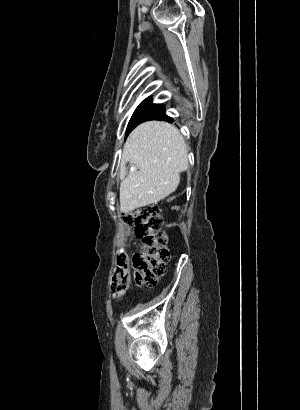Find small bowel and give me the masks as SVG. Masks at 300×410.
<instances>
[{
    "mask_svg": "<svg viewBox=\"0 0 300 410\" xmlns=\"http://www.w3.org/2000/svg\"><path fill=\"white\" fill-rule=\"evenodd\" d=\"M124 296H125V293H124V292H117L116 294H114V298H115L117 301L122 300V299L124 298Z\"/></svg>",
    "mask_w": 300,
    "mask_h": 410,
    "instance_id": "1",
    "label": "small bowel"
}]
</instances>
